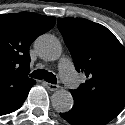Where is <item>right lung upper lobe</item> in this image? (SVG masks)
<instances>
[{"label": "right lung upper lobe", "mask_w": 125, "mask_h": 125, "mask_svg": "<svg viewBox=\"0 0 125 125\" xmlns=\"http://www.w3.org/2000/svg\"><path fill=\"white\" fill-rule=\"evenodd\" d=\"M56 22L52 16L30 12L0 15V93L32 84L29 47Z\"/></svg>", "instance_id": "right-lung-upper-lobe-1"}]
</instances>
